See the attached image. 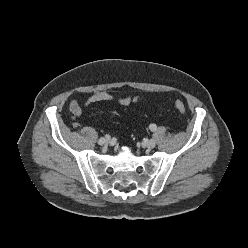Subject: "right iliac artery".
<instances>
[{"label":"right iliac artery","mask_w":248,"mask_h":248,"mask_svg":"<svg viewBox=\"0 0 248 248\" xmlns=\"http://www.w3.org/2000/svg\"><path fill=\"white\" fill-rule=\"evenodd\" d=\"M105 139V137L102 135L101 137H100V139H97V145L98 146H103V140Z\"/></svg>","instance_id":"1"}]
</instances>
